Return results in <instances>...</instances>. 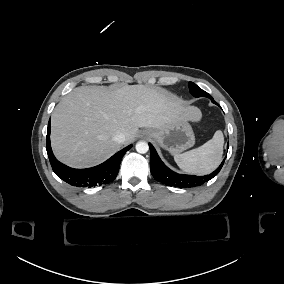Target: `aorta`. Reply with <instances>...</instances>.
Listing matches in <instances>:
<instances>
[{"label":"aorta","mask_w":284,"mask_h":284,"mask_svg":"<svg viewBox=\"0 0 284 284\" xmlns=\"http://www.w3.org/2000/svg\"><path fill=\"white\" fill-rule=\"evenodd\" d=\"M148 150H149V146H148V144L146 142H144V141L137 142V144H136V151L138 153L145 154V153L148 152Z\"/></svg>","instance_id":"1"}]
</instances>
